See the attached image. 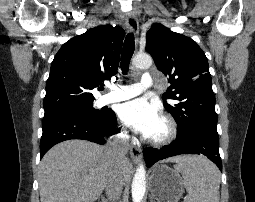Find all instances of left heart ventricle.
<instances>
[{
  "mask_svg": "<svg viewBox=\"0 0 255 202\" xmlns=\"http://www.w3.org/2000/svg\"><path fill=\"white\" fill-rule=\"evenodd\" d=\"M164 132H165V126H164L163 122L160 121L151 136H153V137L161 136L164 134Z\"/></svg>",
  "mask_w": 255,
  "mask_h": 202,
  "instance_id": "b2bd125f",
  "label": "left heart ventricle"
}]
</instances>
